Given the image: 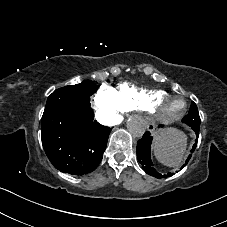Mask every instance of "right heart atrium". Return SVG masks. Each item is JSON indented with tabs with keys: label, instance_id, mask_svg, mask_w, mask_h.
<instances>
[{
	"label": "right heart atrium",
	"instance_id": "obj_1",
	"mask_svg": "<svg viewBox=\"0 0 227 227\" xmlns=\"http://www.w3.org/2000/svg\"><path fill=\"white\" fill-rule=\"evenodd\" d=\"M92 106L99 121L105 125L118 123L125 113L116 97L114 88L108 84L100 86L94 96Z\"/></svg>",
	"mask_w": 227,
	"mask_h": 227
}]
</instances>
